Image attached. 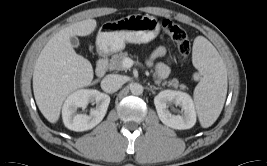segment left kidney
<instances>
[{"instance_id":"5707ae66","label":"left kidney","mask_w":267,"mask_h":166,"mask_svg":"<svg viewBox=\"0 0 267 166\" xmlns=\"http://www.w3.org/2000/svg\"><path fill=\"white\" fill-rule=\"evenodd\" d=\"M154 104L159 119L168 127L178 130L190 129L196 123V111L192 98L189 94L164 90L154 98ZM181 107L182 115H174L169 110L171 105Z\"/></svg>"}]
</instances>
